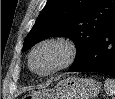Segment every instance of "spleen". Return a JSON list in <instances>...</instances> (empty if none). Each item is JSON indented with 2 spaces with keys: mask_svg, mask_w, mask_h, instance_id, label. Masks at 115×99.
<instances>
[{
  "mask_svg": "<svg viewBox=\"0 0 115 99\" xmlns=\"http://www.w3.org/2000/svg\"><path fill=\"white\" fill-rule=\"evenodd\" d=\"M104 89L108 95L112 96V98L115 99V80L114 79L107 78L104 82Z\"/></svg>",
  "mask_w": 115,
  "mask_h": 99,
  "instance_id": "obj_1",
  "label": "spleen"
}]
</instances>
